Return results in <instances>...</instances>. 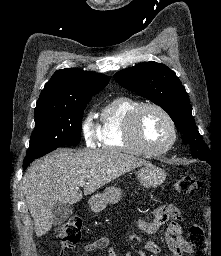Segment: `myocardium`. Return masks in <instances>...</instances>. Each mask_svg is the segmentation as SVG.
<instances>
[{
	"label": "myocardium",
	"mask_w": 221,
	"mask_h": 256,
	"mask_svg": "<svg viewBox=\"0 0 221 256\" xmlns=\"http://www.w3.org/2000/svg\"><path fill=\"white\" fill-rule=\"evenodd\" d=\"M147 108H153L158 110L167 120L171 136L169 141L160 148H150L148 147L141 138L140 129H139V121L142 112ZM125 135L127 140L141 153L148 156H159L167 153L176 143L178 132L176 123L171 116V114L160 104L154 102H145L140 103L128 116Z\"/></svg>",
	"instance_id": "myocardium-1"
}]
</instances>
